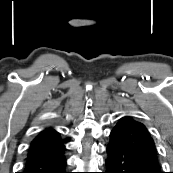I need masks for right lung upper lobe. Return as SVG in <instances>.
Segmentation results:
<instances>
[{
    "label": "right lung upper lobe",
    "instance_id": "1",
    "mask_svg": "<svg viewBox=\"0 0 173 173\" xmlns=\"http://www.w3.org/2000/svg\"><path fill=\"white\" fill-rule=\"evenodd\" d=\"M63 142L57 131L47 128L41 131L31 142L28 152L61 145Z\"/></svg>",
    "mask_w": 173,
    "mask_h": 173
}]
</instances>
